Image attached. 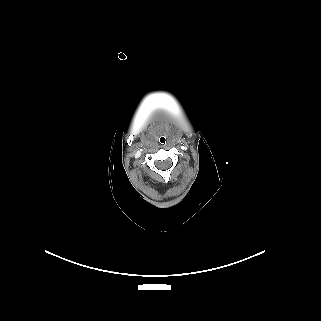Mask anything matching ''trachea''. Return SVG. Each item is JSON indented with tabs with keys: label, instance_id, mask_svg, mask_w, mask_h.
Instances as JSON below:
<instances>
[{
	"label": "trachea",
	"instance_id": "1",
	"mask_svg": "<svg viewBox=\"0 0 321 321\" xmlns=\"http://www.w3.org/2000/svg\"><path fill=\"white\" fill-rule=\"evenodd\" d=\"M160 139H161V140H160L161 144H163V145H164V144H166V142H167V140H166V139H167V138H166V136H164V135H163V136H161V138H160Z\"/></svg>",
	"mask_w": 321,
	"mask_h": 321
}]
</instances>
